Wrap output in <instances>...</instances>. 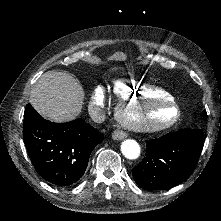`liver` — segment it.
<instances>
[{
  "label": "liver",
  "mask_w": 221,
  "mask_h": 221,
  "mask_svg": "<svg viewBox=\"0 0 221 221\" xmlns=\"http://www.w3.org/2000/svg\"><path fill=\"white\" fill-rule=\"evenodd\" d=\"M83 100L84 91L78 80L64 72L49 71L32 88L29 102L41 116L62 123L81 113Z\"/></svg>",
  "instance_id": "liver-1"
}]
</instances>
